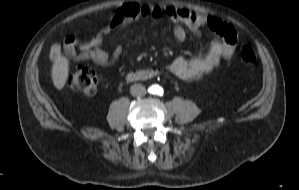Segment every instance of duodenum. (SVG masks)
I'll list each match as a JSON object with an SVG mask.
<instances>
[{
    "mask_svg": "<svg viewBox=\"0 0 299 190\" xmlns=\"http://www.w3.org/2000/svg\"><path fill=\"white\" fill-rule=\"evenodd\" d=\"M158 71L156 69H140L136 71L129 72L127 74V79L129 81H141V80H146L149 78H153L158 75Z\"/></svg>",
    "mask_w": 299,
    "mask_h": 190,
    "instance_id": "duodenum-1",
    "label": "duodenum"
}]
</instances>
